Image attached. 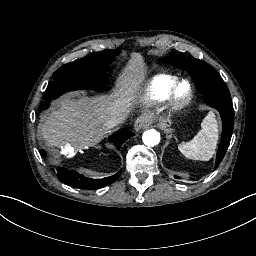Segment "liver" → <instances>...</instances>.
<instances>
[{"label": "liver", "mask_w": 256, "mask_h": 256, "mask_svg": "<svg viewBox=\"0 0 256 256\" xmlns=\"http://www.w3.org/2000/svg\"><path fill=\"white\" fill-rule=\"evenodd\" d=\"M142 75L141 55L134 53L130 65L119 79L114 96L93 100H86L81 95L63 98L40 125L41 134L55 147L84 149L94 146L109 129L106 126L107 120L127 111L128 101Z\"/></svg>", "instance_id": "1"}]
</instances>
